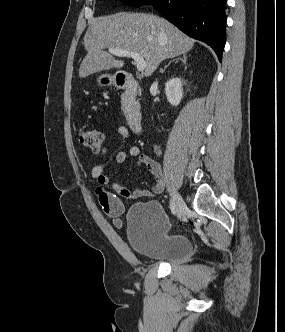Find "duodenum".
I'll use <instances>...</instances> for the list:
<instances>
[{"instance_id":"obj_1","label":"duodenum","mask_w":285,"mask_h":332,"mask_svg":"<svg viewBox=\"0 0 285 332\" xmlns=\"http://www.w3.org/2000/svg\"><path fill=\"white\" fill-rule=\"evenodd\" d=\"M117 85L119 88L125 90L128 99H133L139 92L138 82L130 73H120L117 77ZM127 123L134 133H141L143 131L142 117L139 112H129Z\"/></svg>"}]
</instances>
